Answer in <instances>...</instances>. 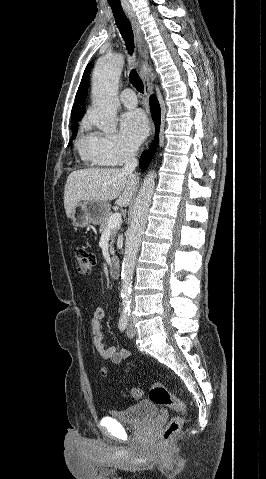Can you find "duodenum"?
I'll use <instances>...</instances> for the list:
<instances>
[{"label": "duodenum", "mask_w": 266, "mask_h": 479, "mask_svg": "<svg viewBox=\"0 0 266 479\" xmlns=\"http://www.w3.org/2000/svg\"><path fill=\"white\" fill-rule=\"evenodd\" d=\"M109 272L112 278H119L120 276V263L116 256H112L109 265Z\"/></svg>", "instance_id": "obj_1"}]
</instances>
